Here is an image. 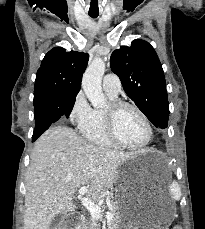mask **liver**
<instances>
[{
	"label": "liver",
	"mask_w": 205,
	"mask_h": 229,
	"mask_svg": "<svg viewBox=\"0 0 205 229\" xmlns=\"http://www.w3.org/2000/svg\"><path fill=\"white\" fill-rule=\"evenodd\" d=\"M134 156L88 143L73 129L49 128L34 144L26 176L24 229H51L58 214L75 210L78 188L98 201L116 182L118 168Z\"/></svg>",
	"instance_id": "liver-1"
}]
</instances>
